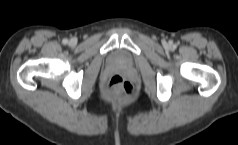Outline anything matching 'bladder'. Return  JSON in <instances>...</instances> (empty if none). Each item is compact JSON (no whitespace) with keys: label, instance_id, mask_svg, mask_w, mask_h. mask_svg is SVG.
<instances>
[{"label":"bladder","instance_id":"1","mask_svg":"<svg viewBox=\"0 0 238 145\" xmlns=\"http://www.w3.org/2000/svg\"><path fill=\"white\" fill-rule=\"evenodd\" d=\"M109 60L112 64L117 66H131L133 64L132 57L124 50H114L109 57Z\"/></svg>","mask_w":238,"mask_h":145}]
</instances>
